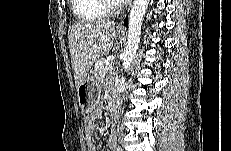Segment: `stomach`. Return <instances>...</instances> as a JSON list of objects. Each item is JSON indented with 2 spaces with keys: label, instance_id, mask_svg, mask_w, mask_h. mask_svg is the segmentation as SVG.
<instances>
[{
  "label": "stomach",
  "instance_id": "obj_1",
  "mask_svg": "<svg viewBox=\"0 0 231 151\" xmlns=\"http://www.w3.org/2000/svg\"><path fill=\"white\" fill-rule=\"evenodd\" d=\"M114 36L121 38L122 31L115 30ZM101 95V88L93 74H88L77 88V98L81 110L85 113L92 112L97 106Z\"/></svg>",
  "mask_w": 231,
  "mask_h": 151
}]
</instances>
